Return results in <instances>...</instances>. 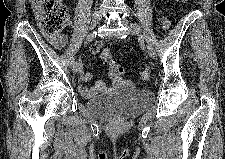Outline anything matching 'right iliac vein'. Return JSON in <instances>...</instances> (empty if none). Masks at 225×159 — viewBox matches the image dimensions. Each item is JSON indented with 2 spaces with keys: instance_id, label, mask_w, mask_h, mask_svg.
Segmentation results:
<instances>
[{
  "instance_id": "1",
  "label": "right iliac vein",
  "mask_w": 225,
  "mask_h": 159,
  "mask_svg": "<svg viewBox=\"0 0 225 159\" xmlns=\"http://www.w3.org/2000/svg\"><path fill=\"white\" fill-rule=\"evenodd\" d=\"M101 19H102V14H101V12H100V11H95L94 14H93V16H92V26L95 27V26H97L98 24H100ZM71 68H72V72H73L74 74H77V73L80 71V69H81L79 63H77V62L74 63V64L71 66Z\"/></svg>"
}]
</instances>
